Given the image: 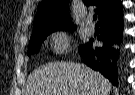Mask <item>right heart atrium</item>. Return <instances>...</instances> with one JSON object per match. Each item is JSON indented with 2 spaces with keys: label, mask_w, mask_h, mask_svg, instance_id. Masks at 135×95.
Returning a JSON list of instances; mask_svg holds the SVG:
<instances>
[{
  "label": "right heart atrium",
  "mask_w": 135,
  "mask_h": 95,
  "mask_svg": "<svg viewBox=\"0 0 135 95\" xmlns=\"http://www.w3.org/2000/svg\"><path fill=\"white\" fill-rule=\"evenodd\" d=\"M70 36L64 30H57L51 36V45L55 53L62 54L70 48Z\"/></svg>",
  "instance_id": "right-heart-atrium-1"
}]
</instances>
